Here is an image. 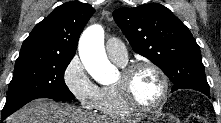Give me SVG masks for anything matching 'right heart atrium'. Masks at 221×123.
Masks as SVG:
<instances>
[{
    "instance_id": "d8ad5b80",
    "label": "right heart atrium",
    "mask_w": 221,
    "mask_h": 123,
    "mask_svg": "<svg viewBox=\"0 0 221 123\" xmlns=\"http://www.w3.org/2000/svg\"><path fill=\"white\" fill-rule=\"evenodd\" d=\"M63 79L68 90L87 110H97L100 88L93 82L78 56L73 57L65 68Z\"/></svg>"
}]
</instances>
